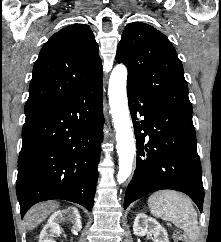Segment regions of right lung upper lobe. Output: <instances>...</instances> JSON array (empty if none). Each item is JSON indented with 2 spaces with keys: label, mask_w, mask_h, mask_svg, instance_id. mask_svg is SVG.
<instances>
[{
  "label": "right lung upper lobe",
  "mask_w": 221,
  "mask_h": 242,
  "mask_svg": "<svg viewBox=\"0 0 221 242\" xmlns=\"http://www.w3.org/2000/svg\"><path fill=\"white\" fill-rule=\"evenodd\" d=\"M102 74L99 47L90 27L73 24L63 28L40 51L25 110L67 98Z\"/></svg>",
  "instance_id": "1"
}]
</instances>
